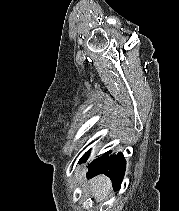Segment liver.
<instances>
[{
  "mask_svg": "<svg viewBox=\"0 0 179 211\" xmlns=\"http://www.w3.org/2000/svg\"><path fill=\"white\" fill-rule=\"evenodd\" d=\"M76 176H79V181H81L83 178V173L79 172L76 174ZM110 188L111 181L104 175H99L91 180V193L97 201L102 200L107 195Z\"/></svg>",
  "mask_w": 179,
  "mask_h": 211,
  "instance_id": "1",
  "label": "liver"
}]
</instances>
